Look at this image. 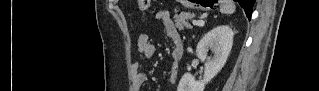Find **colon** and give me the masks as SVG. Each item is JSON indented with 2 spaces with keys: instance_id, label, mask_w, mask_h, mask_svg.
I'll use <instances>...</instances> for the list:
<instances>
[{
  "instance_id": "5ec220e1",
  "label": "colon",
  "mask_w": 319,
  "mask_h": 91,
  "mask_svg": "<svg viewBox=\"0 0 319 91\" xmlns=\"http://www.w3.org/2000/svg\"><path fill=\"white\" fill-rule=\"evenodd\" d=\"M139 9L141 11H147L150 8L151 1L150 0H139Z\"/></svg>"
}]
</instances>
